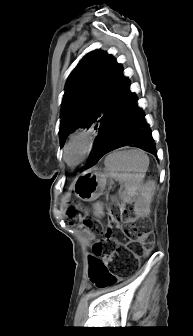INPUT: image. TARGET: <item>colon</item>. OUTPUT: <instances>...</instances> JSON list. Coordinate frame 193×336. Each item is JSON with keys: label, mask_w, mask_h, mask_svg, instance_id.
<instances>
[{"label": "colon", "mask_w": 193, "mask_h": 336, "mask_svg": "<svg viewBox=\"0 0 193 336\" xmlns=\"http://www.w3.org/2000/svg\"><path fill=\"white\" fill-rule=\"evenodd\" d=\"M83 211L73 207L70 215L75 217ZM84 224L93 232L102 235V240L95 243L91 281L99 288L111 286L117 281L105 261L120 256L124 261L132 262L139 253H149L155 246V238L147 221L136 222L126 208L113 206L108 214V223L104 226L98 220H86ZM123 233V241L119 242L118 233ZM133 250H130V247Z\"/></svg>", "instance_id": "1"}]
</instances>
